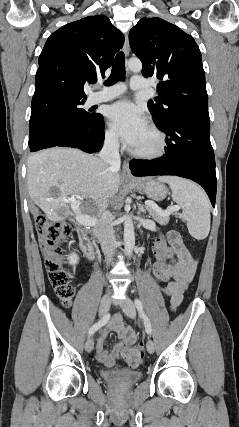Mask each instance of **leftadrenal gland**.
Masks as SVG:
<instances>
[{
  "label": "left adrenal gland",
  "instance_id": "a2214340",
  "mask_svg": "<svg viewBox=\"0 0 239 427\" xmlns=\"http://www.w3.org/2000/svg\"><path fill=\"white\" fill-rule=\"evenodd\" d=\"M137 206H138L139 213L142 212L143 214H146V209L144 208V206L142 204L137 202Z\"/></svg>",
  "mask_w": 239,
  "mask_h": 427
}]
</instances>
